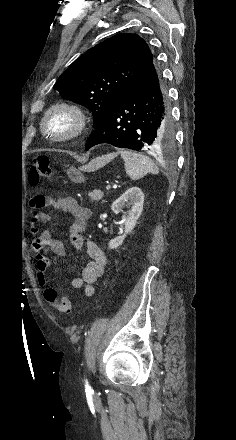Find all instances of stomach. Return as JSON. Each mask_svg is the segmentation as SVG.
<instances>
[{
    "instance_id": "1",
    "label": "stomach",
    "mask_w": 236,
    "mask_h": 440,
    "mask_svg": "<svg viewBox=\"0 0 236 440\" xmlns=\"http://www.w3.org/2000/svg\"><path fill=\"white\" fill-rule=\"evenodd\" d=\"M85 167L79 168V169L70 167L69 169H67L66 172H67L69 179L71 181H73L74 183L84 182L85 177H84L82 171H92L94 169H97L99 167V161L94 160L88 166H85Z\"/></svg>"
}]
</instances>
